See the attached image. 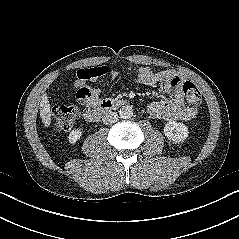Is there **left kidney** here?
<instances>
[{
	"label": "left kidney",
	"mask_w": 239,
	"mask_h": 239,
	"mask_svg": "<svg viewBox=\"0 0 239 239\" xmlns=\"http://www.w3.org/2000/svg\"><path fill=\"white\" fill-rule=\"evenodd\" d=\"M165 136L173 142L184 141L189 134L188 127L180 122L169 121L164 127Z\"/></svg>",
	"instance_id": "1"
}]
</instances>
